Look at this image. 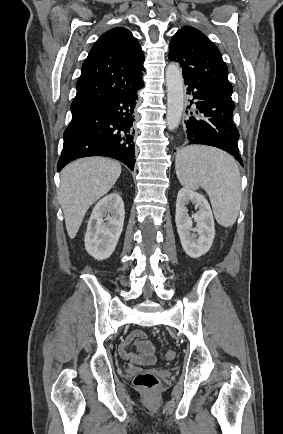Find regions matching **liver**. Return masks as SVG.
<instances>
[{"instance_id":"6515ba94","label":"liver","mask_w":283,"mask_h":434,"mask_svg":"<svg viewBox=\"0 0 283 434\" xmlns=\"http://www.w3.org/2000/svg\"><path fill=\"white\" fill-rule=\"evenodd\" d=\"M121 165L104 157H87L67 165L61 172L58 192L66 229L73 239L89 207L113 187Z\"/></svg>"}]
</instances>
